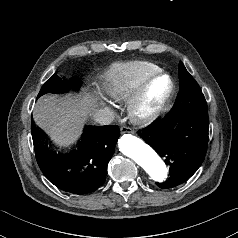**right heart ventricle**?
<instances>
[{"label":"right heart ventricle","instance_id":"right-heart-ventricle-1","mask_svg":"<svg viewBox=\"0 0 238 238\" xmlns=\"http://www.w3.org/2000/svg\"><path fill=\"white\" fill-rule=\"evenodd\" d=\"M158 71V66L146 61L117 63L104 73V89L112 100L124 103L133 97L148 77Z\"/></svg>","mask_w":238,"mask_h":238}]
</instances>
